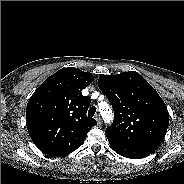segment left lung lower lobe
<instances>
[{
	"mask_svg": "<svg viewBox=\"0 0 184 184\" xmlns=\"http://www.w3.org/2000/svg\"><path fill=\"white\" fill-rule=\"evenodd\" d=\"M107 138L112 149L123 157L131 158V159H140V158L147 157L148 155L151 154L145 150L139 149L137 147H134L124 142H121L119 140H116L111 136H107Z\"/></svg>",
	"mask_w": 184,
	"mask_h": 184,
	"instance_id": "0a47b994",
	"label": "left lung lower lobe"
}]
</instances>
